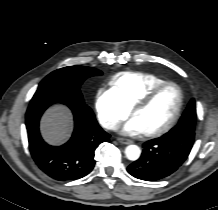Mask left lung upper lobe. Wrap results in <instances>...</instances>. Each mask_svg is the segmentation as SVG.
Instances as JSON below:
<instances>
[{"instance_id": "obj_1", "label": "left lung upper lobe", "mask_w": 218, "mask_h": 210, "mask_svg": "<svg viewBox=\"0 0 218 210\" xmlns=\"http://www.w3.org/2000/svg\"><path fill=\"white\" fill-rule=\"evenodd\" d=\"M196 123V106L195 100L192 99L188 104L185 112L183 113L179 123L171 129L168 133L165 134L166 137H176L177 135H181L184 132L183 129L190 131L194 136V129Z\"/></svg>"}]
</instances>
